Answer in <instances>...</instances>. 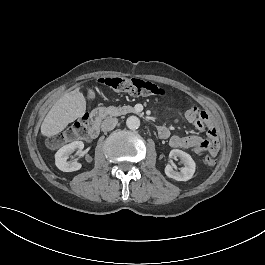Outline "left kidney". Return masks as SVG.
<instances>
[{"mask_svg":"<svg viewBox=\"0 0 265 265\" xmlns=\"http://www.w3.org/2000/svg\"><path fill=\"white\" fill-rule=\"evenodd\" d=\"M173 157H179L184 164V167L181 168L180 172H177L173 170L171 165L168 164L165 167V174L169 178H173L177 181H188L189 179H191L193 177V174L195 173L196 168V164L192 157L188 153L179 149H173L170 151L169 158Z\"/></svg>","mask_w":265,"mask_h":265,"instance_id":"5707ae66","label":"left kidney"}]
</instances>
